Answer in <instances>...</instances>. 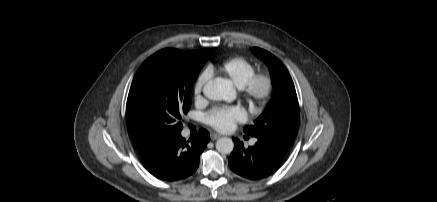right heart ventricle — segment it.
<instances>
[{"label": "right heart ventricle", "mask_w": 437, "mask_h": 202, "mask_svg": "<svg viewBox=\"0 0 437 202\" xmlns=\"http://www.w3.org/2000/svg\"><path fill=\"white\" fill-rule=\"evenodd\" d=\"M228 77L238 88H241L246 81L255 73V66L252 62L243 57L228 58L210 68Z\"/></svg>", "instance_id": "right-heart-ventricle-1"}]
</instances>
